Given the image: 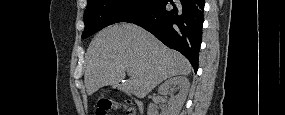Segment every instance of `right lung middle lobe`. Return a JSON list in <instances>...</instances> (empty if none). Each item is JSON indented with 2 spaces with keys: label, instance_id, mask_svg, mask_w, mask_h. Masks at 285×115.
<instances>
[{
  "label": "right lung middle lobe",
  "instance_id": "dd1d6c3e",
  "mask_svg": "<svg viewBox=\"0 0 285 115\" xmlns=\"http://www.w3.org/2000/svg\"><path fill=\"white\" fill-rule=\"evenodd\" d=\"M156 0H88L84 12L85 30L82 38H87L102 28L123 22L132 14L152 5Z\"/></svg>",
  "mask_w": 285,
  "mask_h": 115
}]
</instances>
